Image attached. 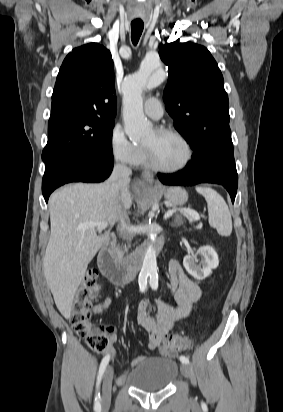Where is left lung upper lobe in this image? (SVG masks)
Returning <instances> with one entry per match:
<instances>
[{"label":"left lung upper lobe","instance_id":"1","mask_svg":"<svg viewBox=\"0 0 283 412\" xmlns=\"http://www.w3.org/2000/svg\"><path fill=\"white\" fill-rule=\"evenodd\" d=\"M159 55L169 68L163 99L175 128L195 152L202 148L226 157L238 184L228 95L216 61L205 47L190 42L160 45Z\"/></svg>","mask_w":283,"mask_h":412}]
</instances>
